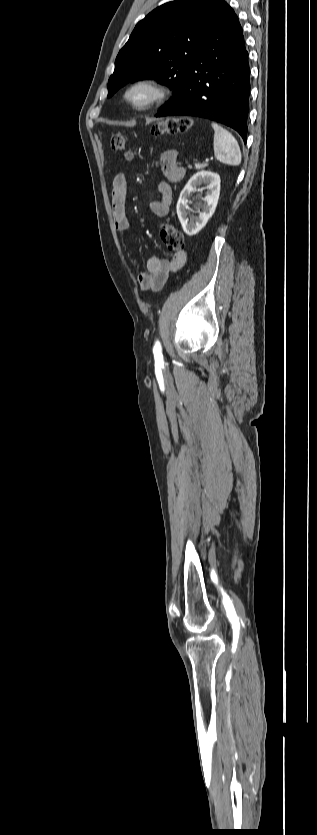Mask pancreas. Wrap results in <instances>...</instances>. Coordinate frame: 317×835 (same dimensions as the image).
Returning a JSON list of instances; mask_svg holds the SVG:
<instances>
[{"label":"pancreas","instance_id":"cf45deb5","mask_svg":"<svg viewBox=\"0 0 317 835\" xmlns=\"http://www.w3.org/2000/svg\"><path fill=\"white\" fill-rule=\"evenodd\" d=\"M206 166H207V163H203V164L195 163V165H194V167H195L196 169H203V168H205ZM188 168H192V166H191V165H189V166H188Z\"/></svg>","mask_w":317,"mask_h":835}]
</instances>
